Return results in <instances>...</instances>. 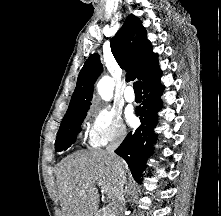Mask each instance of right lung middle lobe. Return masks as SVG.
Wrapping results in <instances>:
<instances>
[{
	"instance_id": "dd1d6c3e",
	"label": "right lung middle lobe",
	"mask_w": 221,
	"mask_h": 216,
	"mask_svg": "<svg viewBox=\"0 0 221 216\" xmlns=\"http://www.w3.org/2000/svg\"><path fill=\"white\" fill-rule=\"evenodd\" d=\"M88 110L64 117L57 138L55 141V150L63 151L71 146L76 140L77 133L81 130V124L86 117Z\"/></svg>"
}]
</instances>
